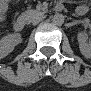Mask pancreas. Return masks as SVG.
Returning a JSON list of instances; mask_svg holds the SVG:
<instances>
[{
	"label": "pancreas",
	"instance_id": "pancreas-1",
	"mask_svg": "<svg viewBox=\"0 0 91 91\" xmlns=\"http://www.w3.org/2000/svg\"><path fill=\"white\" fill-rule=\"evenodd\" d=\"M39 14H40V11L39 10H27L24 13H22V17H24L27 20L31 21L33 18H35Z\"/></svg>",
	"mask_w": 91,
	"mask_h": 91
}]
</instances>
